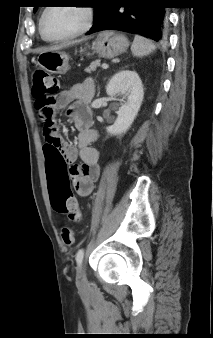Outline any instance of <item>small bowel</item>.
<instances>
[{
	"label": "small bowel",
	"mask_w": 213,
	"mask_h": 338,
	"mask_svg": "<svg viewBox=\"0 0 213 338\" xmlns=\"http://www.w3.org/2000/svg\"><path fill=\"white\" fill-rule=\"evenodd\" d=\"M93 95V82L88 79L57 94L54 108L76 109L87 105ZM74 124L79 130L75 146L61 138L59 144L44 146L48 187L53 190L57 185L66 183L71 177L77 195L87 197L92 193L94 182L100 175L99 153L91 146L97 140V132L91 128V117L87 109H83L74 117ZM53 135L58 136L54 130ZM77 158L81 159L80 165L75 163Z\"/></svg>",
	"instance_id": "obj_1"
}]
</instances>
